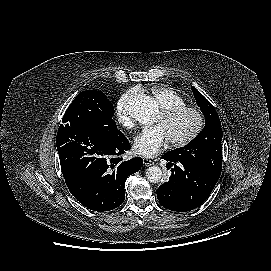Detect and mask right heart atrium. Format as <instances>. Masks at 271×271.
<instances>
[{
    "mask_svg": "<svg viewBox=\"0 0 271 271\" xmlns=\"http://www.w3.org/2000/svg\"><path fill=\"white\" fill-rule=\"evenodd\" d=\"M136 90H130L120 96L116 103V117L120 125L124 128H132L133 120L130 116L128 105L136 95Z\"/></svg>",
    "mask_w": 271,
    "mask_h": 271,
    "instance_id": "right-heart-atrium-1",
    "label": "right heart atrium"
}]
</instances>
